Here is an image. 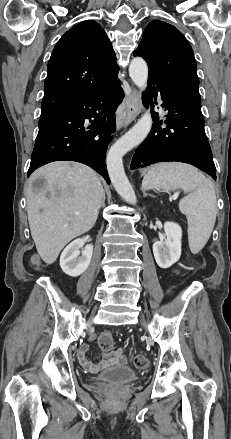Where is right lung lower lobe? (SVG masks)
Masks as SVG:
<instances>
[{"label":"right lung lower lobe","instance_id":"1","mask_svg":"<svg viewBox=\"0 0 231 439\" xmlns=\"http://www.w3.org/2000/svg\"><path fill=\"white\" fill-rule=\"evenodd\" d=\"M123 97L116 77L107 88L40 118L28 176L49 162L71 160L90 166L110 184L105 156L116 129L114 112Z\"/></svg>","mask_w":231,"mask_h":439}]
</instances>
